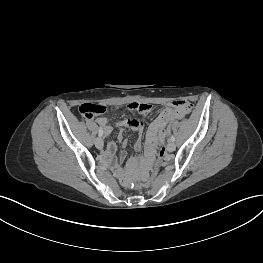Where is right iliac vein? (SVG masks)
I'll return each mask as SVG.
<instances>
[{"label":"right iliac vein","instance_id":"63e3f726","mask_svg":"<svg viewBox=\"0 0 263 263\" xmlns=\"http://www.w3.org/2000/svg\"><path fill=\"white\" fill-rule=\"evenodd\" d=\"M103 145H104V143H103L102 138H101V137H97V138L95 139V146H96L98 149H102V148H103Z\"/></svg>","mask_w":263,"mask_h":263}]
</instances>
